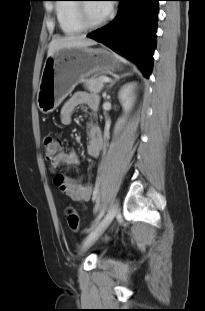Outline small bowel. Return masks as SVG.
<instances>
[{"label": "small bowel", "instance_id": "c3829d8e", "mask_svg": "<svg viewBox=\"0 0 205 311\" xmlns=\"http://www.w3.org/2000/svg\"><path fill=\"white\" fill-rule=\"evenodd\" d=\"M80 105H86L91 111L96 112L99 108V99L96 95L84 91L74 93L61 109V123L64 125L71 124L75 111ZM87 134V154L96 158L103 148L102 133L98 124L95 122L88 123ZM77 163L78 156L74 150L62 151L50 161V168L55 173L61 166L71 167ZM53 183L61 193L76 202L88 201L92 194V185L83 183L82 178L74 179L63 173H55Z\"/></svg>", "mask_w": 205, "mask_h": 311}]
</instances>
